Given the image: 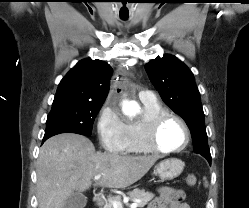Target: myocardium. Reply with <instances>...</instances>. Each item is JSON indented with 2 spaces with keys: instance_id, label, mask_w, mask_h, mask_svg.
Returning <instances> with one entry per match:
<instances>
[{
  "instance_id": "myocardium-1",
  "label": "myocardium",
  "mask_w": 249,
  "mask_h": 208,
  "mask_svg": "<svg viewBox=\"0 0 249 208\" xmlns=\"http://www.w3.org/2000/svg\"><path fill=\"white\" fill-rule=\"evenodd\" d=\"M171 119L176 120L182 125L186 134V138L184 144L181 147L174 149H164L157 142L158 133L162 128V126L165 124V122ZM190 141H191V131L188 124L185 122L183 118L170 112H164L154 117L150 122L147 123L143 132V146L145 150L149 153H158V154L179 153L184 151L188 147Z\"/></svg>"
}]
</instances>
